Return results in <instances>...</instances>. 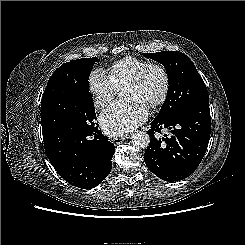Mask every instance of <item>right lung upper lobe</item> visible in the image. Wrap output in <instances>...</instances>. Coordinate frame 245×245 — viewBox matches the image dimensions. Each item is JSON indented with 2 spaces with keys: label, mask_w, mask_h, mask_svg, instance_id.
I'll list each match as a JSON object with an SVG mask.
<instances>
[{
  "label": "right lung upper lobe",
  "mask_w": 245,
  "mask_h": 245,
  "mask_svg": "<svg viewBox=\"0 0 245 245\" xmlns=\"http://www.w3.org/2000/svg\"><path fill=\"white\" fill-rule=\"evenodd\" d=\"M60 71L56 69L48 81V85L42 97L41 114H45L49 109L56 104L57 91L56 86L59 84Z\"/></svg>",
  "instance_id": "cb5924a9"
}]
</instances>
